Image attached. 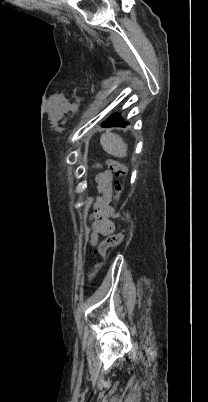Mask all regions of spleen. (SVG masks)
Masks as SVG:
<instances>
[{
  "mask_svg": "<svg viewBox=\"0 0 208 402\" xmlns=\"http://www.w3.org/2000/svg\"><path fill=\"white\" fill-rule=\"evenodd\" d=\"M100 144L110 156H115V158H125L127 156V144L123 142L118 134H111V132L102 134Z\"/></svg>",
  "mask_w": 208,
  "mask_h": 402,
  "instance_id": "spleen-1",
  "label": "spleen"
}]
</instances>
